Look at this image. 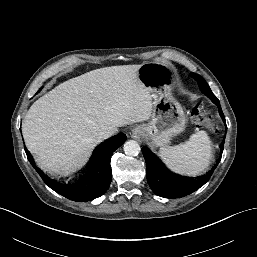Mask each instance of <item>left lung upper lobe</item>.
I'll list each match as a JSON object with an SVG mask.
<instances>
[{
	"label": "left lung upper lobe",
	"instance_id": "5c2ea615",
	"mask_svg": "<svg viewBox=\"0 0 257 257\" xmlns=\"http://www.w3.org/2000/svg\"><path fill=\"white\" fill-rule=\"evenodd\" d=\"M191 76L198 82L199 87L206 94V96H208L216 105H218L219 100L212 93V91H211L209 85L206 83V81L201 76H199L195 73H191Z\"/></svg>",
	"mask_w": 257,
	"mask_h": 257
}]
</instances>
